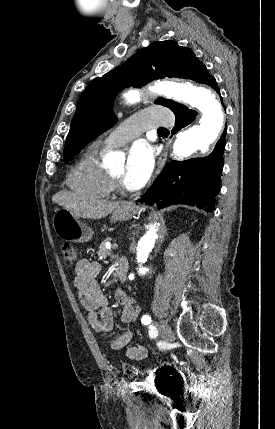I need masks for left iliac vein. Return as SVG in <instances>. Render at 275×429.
<instances>
[{"label": "left iliac vein", "instance_id": "4c4485c4", "mask_svg": "<svg viewBox=\"0 0 275 429\" xmlns=\"http://www.w3.org/2000/svg\"><path fill=\"white\" fill-rule=\"evenodd\" d=\"M158 330H159V334L161 335V337H162L165 341H167V342L172 341V338H173V332H172V329H171V327L168 325V323H167V322H165V321H163V320H162V321L159 323Z\"/></svg>", "mask_w": 275, "mask_h": 429}]
</instances>
